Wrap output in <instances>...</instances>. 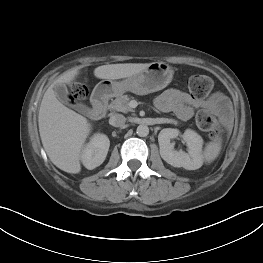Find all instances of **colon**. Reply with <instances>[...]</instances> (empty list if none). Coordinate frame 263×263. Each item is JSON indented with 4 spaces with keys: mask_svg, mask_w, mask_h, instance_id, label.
I'll return each mask as SVG.
<instances>
[{
    "mask_svg": "<svg viewBox=\"0 0 263 263\" xmlns=\"http://www.w3.org/2000/svg\"><path fill=\"white\" fill-rule=\"evenodd\" d=\"M188 89L192 96L198 99L206 98L213 88V81L206 75H193L188 79ZM88 94L86 86L77 84L72 88L70 99L71 101L77 102L84 99ZM197 126L207 132L210 137L217 138L220 135V129L216 120V117L207 112H199L196 116Z\"/></svg>",
    "mask_w": 263,
    "mask_h": 263,
    "instance_id": "5ec220e1",
    "label": "colon"
}]
</instances>
